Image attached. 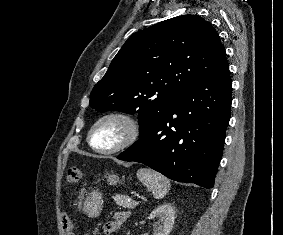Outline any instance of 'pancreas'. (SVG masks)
<instances>
[{
    "instance_id": "obj_1",
    "label": "pancreas",
    "mask_w": 283,
    "mask_h": 235,
    "mask_svg": "<svg viewBox=\"0 0 283 235\" xmlns=\"http://www.w3.org/2000/svg\"><path fill=\"white\" fill-rule=\"evenodd\" d=\"M114 201L117 205L122 206L123 208L134 209L136 206V203L129 201V197L126 195H115Z\"/></svg>"
}]
</instances>
